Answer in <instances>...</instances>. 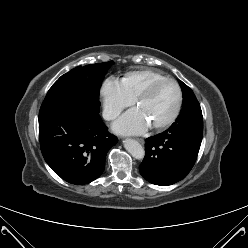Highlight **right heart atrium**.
Instances as JSON below:
<instances>
[{
  "instance_id": "obj_1",
  "label": "right heart atrium",
  "mask_w": 248,
  "mask_h": 248,
  "mask_svg": "<svg viewBox=\"0 0 248 248\" xmlns=\"http://www.w3.org/2000/svg\"><path fill=\"white\" fill-rule=\"evenodd\" d=\"M104 117L107 120L115 119L123 109L133 103V99L127 94L122 83L114 78L104 81L101 88Z\"/></svg>"
}]
</instances>
